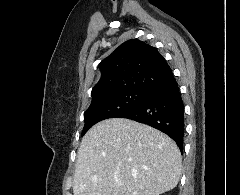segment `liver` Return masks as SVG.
Wrapping results in <instances>:
<instances>
[{
	"mask_svg": "<svg viewBox=\"0 0 240 195\" xmlns=\"http://www.w3.org/2000/svg\"><path fill=\"white\" fill-rule=\"evenodd\" d=\"M181 161L175 141L159 129L124 117L103 119L81 139L73 195H159L176 187Z\"/></svg>",
	"mask_w": 240,
	"mask_h": 195,
	"instance_id": "1",
	"label": "liver"
}]
</instances>
